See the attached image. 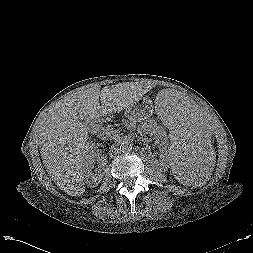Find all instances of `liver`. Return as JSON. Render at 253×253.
I'll return each mask as SVG.
<instances>
[{
    "instance_id": "1",
    "label": "liver",
    "mask_w": 253,
    "mask_h": 253,
    "mask_svg": "<svg viewBox=\"0 0 253 253\" xmlns=\"http://www.w3.org/2000/svg\"><path fill=\"white\" fill-rule=\"evenodd\" d=\"M150 89V85L141 82L118 83L102 90L94 85L59 102L44 118L38 129L41 158L61 190L71 196L85 192L82 167L93 123L107 113L132 106Z\"/></svg>"
}]
</instances>
